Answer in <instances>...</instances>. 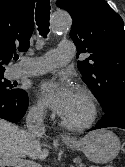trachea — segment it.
Returning a JSON list of instances; mask_svg holds the SVG:
<instances>
[{
    "label": "trachea",
    "mask_w": 125,
    "mask_h": 167,
    "mask_svg": "<svg viewBox=\"0 0 125 167\" xmlns=\"http://www.w3.org/2000/svg\"><path fill=\"white\" fill-rule=\"evenodd\" d=\"M50 1L49 0H37L35 9V20L38 26V31L41 36L46 37L49 33L50 26ZM18 55H15L14 59L17 60Z\"/></svg>",
    "instance_id": "1"
}]
</instances>
